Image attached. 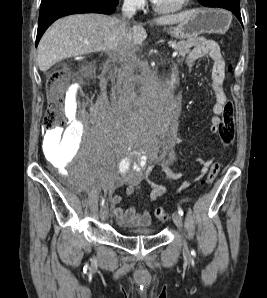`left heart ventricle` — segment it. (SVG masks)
Listing matches in <instances>:
<instances>
[{
  "mask_svg": "<svg viewBox=\"0 0 267 298\" xmlns=\"http://www.w3.org/2000/svg\"><path fill=\"white\" fill-rule=\"evenodd\" d=\"M154 2L163 9H173L177 7L182 0H155Z\"/></svg>",
  "mask_w": 267,
  "mask_h": 298,
  "instance_id": "b2bd125f",
  "label": "left heart ventricle"
}]
</instances>
